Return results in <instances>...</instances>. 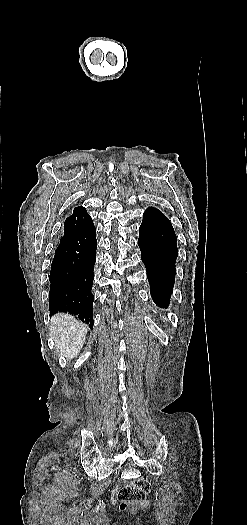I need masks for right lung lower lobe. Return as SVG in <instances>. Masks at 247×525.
I'll return each mask as SVG.
<instances>
[{
	"label": "right lung lower lobe",
	"mask_w": 247,
	"mask_h": 525,
	"mask_svg": "<svg viewBox=\"0 0 247 525\" xmlns=\"http://www.w3.org/2000/svg\"><path fill=\"white\" fill-rule=\"evenodd\" d=\"M96 248V228L93 224L60 240L49 276L50 316L68 312L93 327L94 295L91 288Z\"/></svg>",
	"instance_id": "98d812e1"
}]
</instances>
